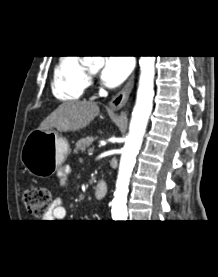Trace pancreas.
Here are the masks:
<instances>
[{
    "label": "pancreas",
    "instance_id": "pancreas-1",
    "mask_svg": "<svg viewBox=\"0 0 218 277\" xmlns=\"http://www.w3.org/2000/svg\"><path fill=\"white\" fill-rule=\"evenodd\" d=\"M94 141L93 137H86L80 139L76 143V147L74 149V153H78L79 151H84L87 147H90L92 145V142Z\"/></svg>",
    "mask_w": 218,
    "mask_h": 277
}]
</instances>
